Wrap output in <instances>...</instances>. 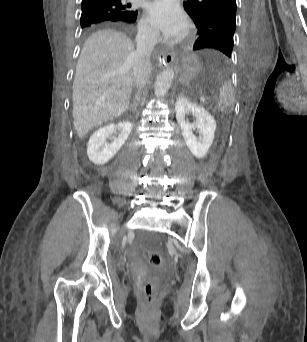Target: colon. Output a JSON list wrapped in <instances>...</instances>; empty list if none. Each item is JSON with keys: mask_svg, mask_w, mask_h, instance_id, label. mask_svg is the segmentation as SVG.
<instances>
[{"mask_svg": "<svg viewBox=\"0 0 307 342\" xmlns=\"http://www.w3.org/2000/svg\"><path fill=\"white\" fill-rule=\"evenodd\" d=\"M145 257L151 263V268H158L159 273H164L166 268V261L162 260V257L153 251L145 250ZM151 276L157 275L156 269L150 270ZM141 294V301L143 307H156L157 306V294L155 288H161V281H145Z\"/></svg>", "mask_w": 307, "mask_h": 342, "instance_id": "colon-1", "label": "colon"}]
</instances>
